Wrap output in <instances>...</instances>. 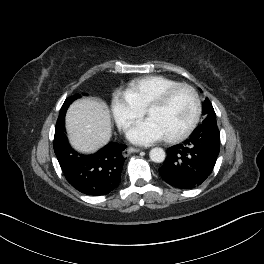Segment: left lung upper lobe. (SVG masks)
I'll list each match as a JSON object with an SVG mask.
<instances>
[{"mask_svg": "<svg viewBox=\"0 0 264 264\" xmlns=\"http://www.w3.org/2000/svg\"><path fill=\"white\" fill-rule=\"evenodd\" d=\"M203 115H205V119L203 123L206 122H215L216 123V114L214 112L213 106L208 98L205 99L203 102V109H202Z\"/></svg>", "mask_w": 264, "mask_h": 264, "instance_id": "obj_1", "label": "left lung upper lobe"}]
</instances>
